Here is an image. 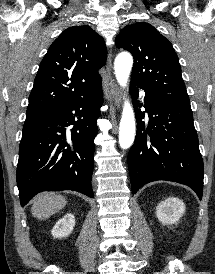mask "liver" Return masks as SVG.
<instances>
[{
	"label": "liver",
	"mask_w": 215,
	"mask_h": 274,
	"mask_svg": "<svg viewBox=\"0 0 215 274\" xmlns=\"http://www.w3.org/2000/svg\"><path fill=\"white\" fill-rule=\"evenodd\" d=\"M66 203L65 197L61 195L49 193L41 194L34 202L31 212L35 218L45 220L64 208Z\"/></svg>",
	"instance_id": "liver-1"
}]
</instances>
